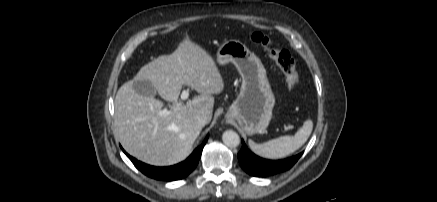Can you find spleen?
Segmentation results:
<instances>
[{"label": "spleen", "instance_id": "spleen-1", "mask_svg": "<svg viewBox=\"0 0 437 202\" xmlns=\"http://www.w3.org/2000/svg\"><path fill=\"white\" fill-rule=\"evenodd\" d=\"M312 129V120H306L294 136H281L262 144L249 140V147L255 154L264 158H283L302 147L309 138Z\"/></svg>", "mask_w": 437, "mask_h": 202}]
</instances>
